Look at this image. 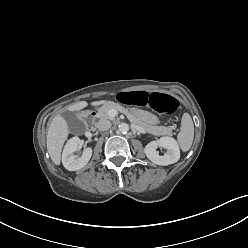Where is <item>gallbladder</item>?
<instances>
[{
    "instance_id": "obj_1",
    "label": "gallbladder",
    "mask_w": 248,
    "mask_h": 248,
    "mask_svg": "<svg viewBox=\"0 0 248 248\" xmlns=\"http://www.w3.org/2000/svg\"><path fill=\"white\" fill-rule=\"evenodd\" d=\"M65 117L66 119L69 121L70 123V128L72 131H80L83 129L84 125L83 122L80 121L75 114H73L72 112H66L65 113Z\"/></svg>"
}]
</instances>
